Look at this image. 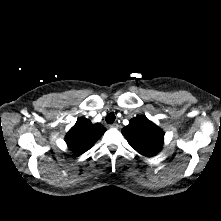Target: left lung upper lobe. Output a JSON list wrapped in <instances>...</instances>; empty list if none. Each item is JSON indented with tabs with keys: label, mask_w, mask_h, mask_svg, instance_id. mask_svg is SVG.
<instances>
[{
	"label": "left lung upper lobe",
	"mask_w": 221,
	"mask_h": 221,
	"mask_svg": "<svg viewBox=\"0 0 221 221\" xmlns=\"http://www.w3.org/2000/svg\"><path fill=\"white\" fill-rule=\"evenodd\" d=\"M122 134L133 149L146 157H152L162 149L163 131L145 116L131 119Z\"/></svg>",
	"instance_id": "1"
}]
</instances>
